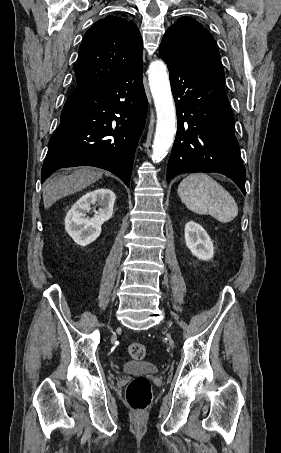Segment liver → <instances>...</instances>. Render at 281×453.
Wrapping results in <instances>:
<instances>
[{"mask_svg": "<svg viewBox=\"0 0 281 453\" xmlns=\"http://www.w3.org/2000/svg\"><path fill=\"white\" fill-rule=\"evenodd\" d=\"M103 172L99 168H78L74 170L72 174L67 176H51L45 182L43 188V202L45 208H50L56 200L68 196V194H74L79 192L83 188H87L92 182H96L99 178H102Z\"/></svg>", "mask_w": 281, "mask_h": 453, "instance_id": "liver-1", "label": "liver"}]
</instances>
